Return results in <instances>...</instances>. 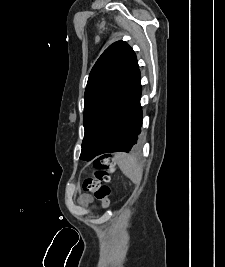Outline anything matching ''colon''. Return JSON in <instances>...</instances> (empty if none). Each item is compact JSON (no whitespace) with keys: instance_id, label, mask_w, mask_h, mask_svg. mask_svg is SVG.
<instances>
[{"instance_id":"obj_1","label":"colon","mask_w":225,"mask_h":267,"mask_svg":"<svg viewBox=\"0 0 225 267\" xmlns=\"http://www.w3.org/2000/svg\"><path fill=\"white\" fill-rule=\"evenodd\" d=\"M94 175L83 182L85 190L94 193L95 197L102 202L104 209H108L112 193L108 183L115 170V159L111 154H102L94 162Z\"/></svg>"}]
</instances>
